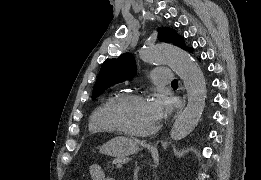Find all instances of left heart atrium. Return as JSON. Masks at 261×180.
<instances>
[{
	"label": "left heart atrium",
	"mask_w": 261,
	"mask_h": 180,
	"mask_svg": "<svg viewBox=\"0 0 261 180\" xmlns=\"http://www.w3.org/2000/svg\"><path fill=\"white\" fill-rule=\"evenodd\" d=\"M151 102L154 108L159 112H169L173 109L174 99L168 96L166 93H156Z\"/></svg>",
	"instance_id": "left-heart-atrium-1"
}]
</instances>
